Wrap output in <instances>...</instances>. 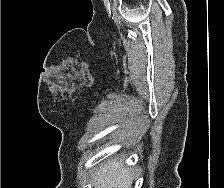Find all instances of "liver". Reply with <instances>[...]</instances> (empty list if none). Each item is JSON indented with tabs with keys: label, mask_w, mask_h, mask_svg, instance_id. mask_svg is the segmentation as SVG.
<instances>
[{
	"label": "liver",
	"mask_w": 224,
	"mask_h": 188,
	"mask_svg": "<svg viewBox=\"0 0 224 188\" xmlns=\"http://www.w3.org/2000/svg\"><path fill=\"white\" fill-rule=\"evenodd\" d=\"M132 176L122 161H109L96 173L94 185L95 188H131Z\"/></svg>",
	"instance_id": "1"
}]
</instances>
